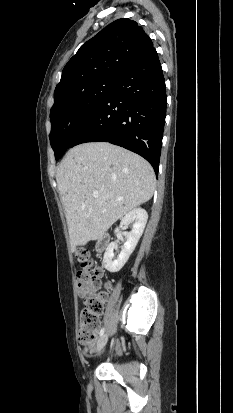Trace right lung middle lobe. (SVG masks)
<instances>
[{"label": "right lung middle lobe", "mask_w": 233, "mask_h": 413, "mask_svg": "<svg viewBox=\"0 0 233 413\" xmlns=\"http://www.w3.org/2000/svg\"><path fill=\"white\" fill-rule=\"evenodd\" d=\"M115 78H101L57 99L51 108L50 142L58 160L108 96Z\"/></svg>", "instance_id": "dd1d6c3e"}]
</instances>
